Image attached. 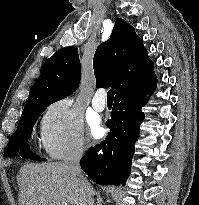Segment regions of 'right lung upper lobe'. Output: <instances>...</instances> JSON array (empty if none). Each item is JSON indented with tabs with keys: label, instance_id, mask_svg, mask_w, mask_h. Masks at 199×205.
Returning <instances> with one entry per match:
<instances>
[{
	"label": "right lung upper lobe",
	"instance_id": "cb5924a9",
	"mask_svg": "<svg viewBox=\"0 0 199 205\" xmlns=\"http://www.w3.org/2000/svg\"><path fill=\"white\" fill-rule=\"evenodd\" d=\"M93 68L96 86H110L117 94L136 78L152 72L153 63L134 28L118 18L110 38L97 48ZM80 72L77 47L60 49L44 63L27 103L58 101L71 95L79 85Z\"/></svg>",
	"mask_w": 199,
	"mask_h": 205
}]
</instances>
